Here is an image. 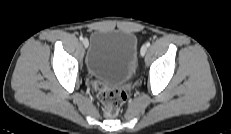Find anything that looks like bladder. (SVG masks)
<instances>
[{"label": "bladder", "instance_id": "31cf9c89", "mask_svg": "<svg viewBox=\"0 0 231 134\" xmlns=\"http://www.w3.org/2000/svg\"><path fill=\"white\" fill-rule=\"evenodd\" d=\"M138 39L130 31L98 29L90 37L85 68L90 77L106 86H125L137 68Z\"/></svg>", "mask_w": 231, "mask_h": 134}]
</instances>
